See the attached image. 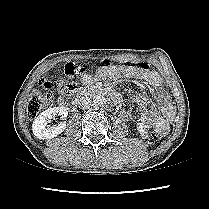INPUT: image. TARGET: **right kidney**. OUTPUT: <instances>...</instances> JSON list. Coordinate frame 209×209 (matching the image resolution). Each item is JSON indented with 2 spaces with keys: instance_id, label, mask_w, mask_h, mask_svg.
<instances>
[{
  "instance_id": "right-kidney-1",
  "label": "right kidney",
  "mask_w": 209,
  "mask_h": 209,
  "mask_svg": "<svg viewBox=\"0 0 209 209\" xmlns=\"http://www.w3.org/2000/svg\"><path fill=\"white\" fill-rule=\"evenodd\" d=\"M56 115L61 116L63 120L68 116V110L65 107H53L40 113L33 121L32 131L38 139H51L60 135L66 128V123L61 122L58 125L48 127L50 119Z\"/></svg>"
}]
</instances>
